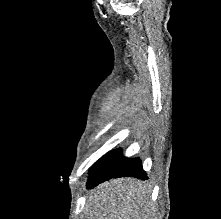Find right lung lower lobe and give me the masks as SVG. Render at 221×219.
Returning <instances> with one entry per match:
<instances>
[{
	"instance_id": "98d812e1",
	"label": "right lung lower lobe",
	"mask_w": 221,
	"mask_h": 219,
	"mask_svg": "<svg viewBox=\"0 0 221 219\" xmlns=\"http://www.w3.org/2000/svg\"><path fill=\"white\" fill-rule=\"evenodd\" d=\"M123 176L148 179L139 158L128 159L121 156L120 150H115L103 156L91 168L87 188H93L105 180Z\"/></svg>"
}]
</instances>
